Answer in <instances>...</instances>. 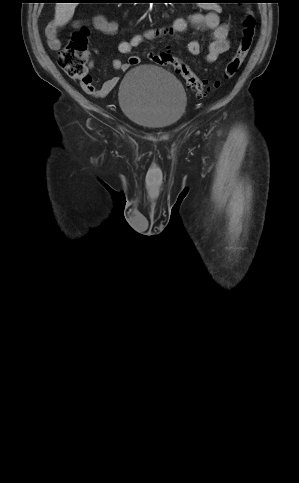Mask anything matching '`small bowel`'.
I'll list each match as a JSON object with an SVG mask.
<instances>
[{
    "label": "small bowel",
    "instance_id": "1",
    "mask_svg": "<svg viewBox=\"0 0 299 483\" xmlns=\"http://www.w3.org/2000/svg\"><path fill=\"white\" fill-rule=\"evenodd\" d=\"M222 8L219 5L212 4L206 11L195 12L188 16L177 17L170 25L149 28L142 33L134 35L130 40L121 41L118 50L121 54H130L133 48L141 45L145 41H155L165 37H173L180 39L187 31L188 25L193 24L196 27L209 31V42L205 60L207 63H215L219 57L226 53L230 48L229 25L220 21V13ZM90 24L95 30L106 34L114 35L119 29L117 21L108 20L103 15H96L90 22L79 21L75 23L76 27H83ZM58 24L50 23L46 28V37L51 49L57 50L61 46V41L57 33ZM188 52L193 56L201 53V46L197 40L186 42ZM140 59L137 56L129 57L127 62L115 59L112 63L113 68L120 72H126L130 67L137 65ZM120 76H114L106 80L99 89L94 87L91 90L84 89L86 92L97 96H105L112 91L118 84Z\"/></svg>",
    "mask_w": 299,
    "mask_h": 483
}]
</instances>
